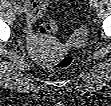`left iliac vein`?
<instances>
[{"instance_id": "1", "label": "left iliac vein", "mask_w": 111, "mask_h": 106, "mask_svg": "<svg viewBox=\"0 0 111 106\" xmlns=\"http://www.w3.org/2000/svg\"><path fill=\"white\" fill-rule=\"evenodd\" d=\"M97 5V1L96 0H91L90 1V6L91 7H95Z\"/></svg>"}]
</instances>
